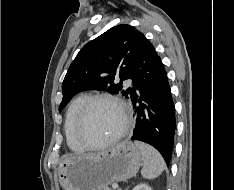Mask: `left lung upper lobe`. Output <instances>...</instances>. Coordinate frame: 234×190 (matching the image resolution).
I'll return each instance as SVG.
<instances>
[{"label":"left lung upper lobe","mask_w":234,"mask_h":190,"mask_svg":"<svg viewBox=\"0 0 234 190\" xmlns=\"http://www.w3.org/2000/svg\"><path fill=\"white\" fill-rule=\"evenodd\" d=\"M144 35L134 27L114 26L87 43L71 63L62 85L61 111L71 98L84 90L97 89L129 97L132 88L123 89L126 79H134L140 43ZM120 79L119 83H115Z\"/></svg>","instance_id":"1"}]
</instances>
